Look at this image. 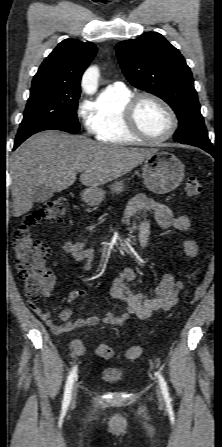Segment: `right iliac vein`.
<instances>
[{
  "instance_id": "obj_1",
  "label": "right iliac vein",
  "mask_w": 222,
  "mask_h": 447,
  "mask_svg": "<svg viewBox=\"0 0 222 447\" xmlns=\"http://www.w3.org/2000/svg\"><path fill=\"white\" fill-rule=\"evenodd\" d=\"M76 397H77V386L75 385L73 387V390H72V397H71V404L72 405L75 404Z\"/></svg>"
}]
</instances>
